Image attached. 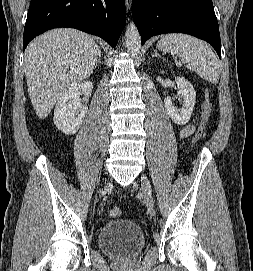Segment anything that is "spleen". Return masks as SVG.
Listing matches in <instances>:
<instances>
[{
  "mask_svg": "<svg viewBox=\"0 0 253 271\" xmlns=\"http://www.w3.org/2000/svg\"><path fill=\"white\" fill-rule=\"evenodd\" d=\"M163 52L176 54L182 62L202 79L212 84L219 82V61L212 49L203 41L190 35L171 33L164 35L157 43Z\"/></svg>",
  "mask_w": 253,
  "mask_h": 271,
  "instance_id": "3e777b00",
  "label": "spleen"
}]
</instances>
